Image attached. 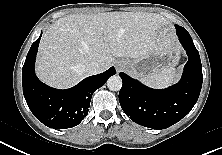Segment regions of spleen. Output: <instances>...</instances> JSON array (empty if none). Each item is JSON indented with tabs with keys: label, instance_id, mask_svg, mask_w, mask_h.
<instances>
[{
	"label": "spleen",
	"instance_id": "3e777b00",
	"mask_svg": "<svg viewBox=\"0 0 222 155\" xmlns=\"http://www.w3.org/2000/svg\"><path fill=\"white\" fill-rule=\"evenodd\" d=\"M177 71L175 68H167L158 73L147 75L142 81L152 87L163 88L171 85L176 81Z\"/></svg>",
	"mask_w": 222,
	"mask_h": 155
}]
</instances>
